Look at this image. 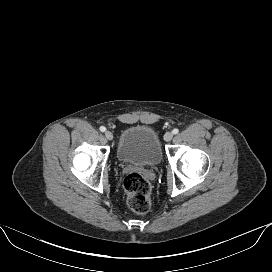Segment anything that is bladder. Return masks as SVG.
Masks as SVG:
<instances>
[{
    "label": "bladder",
    "mask_w": 272,
    "mask_h": 272,
    "mask_svg": "<svg viewBox=\"0 0 272 272\" xmlns=\"http://www.w3.org/2000/svg\"><path fill=\"white\" fill-rule=\"evenodd\" d=\"M117 158L125 164L157 166L162 160V147L155 130L143 125L126 128L119 139Z\"/></svg>",
    "instance_id": "bladder-1"
}]
</instances>
